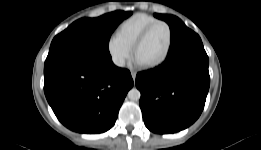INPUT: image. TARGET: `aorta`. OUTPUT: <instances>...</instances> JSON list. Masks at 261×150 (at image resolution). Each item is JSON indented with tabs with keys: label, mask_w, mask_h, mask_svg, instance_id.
Instances as JSON below:
<instances>
[{
	"label": "aorta",
	"mask_w": 261,
	"mask_h": 150,
	"mask_svg": "<svg viewBox=\"0 0 261 150\" xmlns=\"http://www.w3.org/2000/svg\"><path fill=\"white\" fill-rule=\"evenodd\" d=\"M128 98L132 101H138L141 97V93L138 89L136 88H132L128 94H127Z\"/></svg>",
	"instance_id": "obj_1"
}]
</instances>
